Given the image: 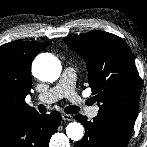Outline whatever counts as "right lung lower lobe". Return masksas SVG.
<instances>
[{"label":"right lung lower lobe","mask_w":147,"mask_h":147,"mask_svg":"<svg viewBox=\"0 0 147 147\" xmlns=\"http://www.w3.org/2000/svg\"><path fill=\"white\" fill-rule=\"evenodd\" d=\"M60 122L59 112L28 115L0 133V147H48Z\"/></svg>","instance_id":"1"}]
</instances>
